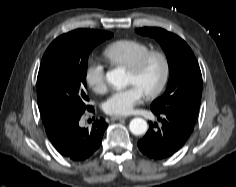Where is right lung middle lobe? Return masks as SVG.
Wrapping results in <instances>:
<instances>
[{"label": "right lung middle lobe", "mask_w": 236, "mask_h": 187, "mask_svg": "<svg viewBox=\"0 0 236 187\" xmlns=\"http://www.w3.org/2000/svg\"><path fill=\"white\" fill-rule=\"evenodd\" d=\"M113 36L105 31L56 38L43 55L37 77V100L45 129H60L90 108L86 88L92 49Z\"/></svg>", "instance_id": "right-lung-middle-lobe-1"}]
</instances>
